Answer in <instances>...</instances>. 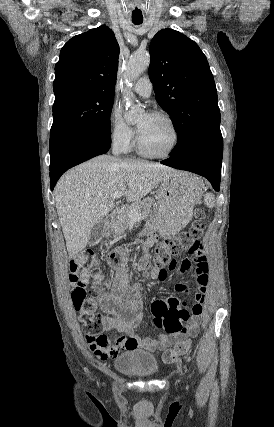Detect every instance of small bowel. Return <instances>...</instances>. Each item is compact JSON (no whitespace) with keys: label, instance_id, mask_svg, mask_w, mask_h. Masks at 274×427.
<instances>
[{"label":"small bowel","instance_id":"small-bowel-1","mask_svg":"<svg viewBox=\"0 0 274 427\" xmlns=\"http://www.w3.org/2000/svg\"><path fill=\"white\" fill-rule=\"evenodd\" d=\"M154 242L151 237L143 244L144 249H149ZM201 244L195 245L194 249L188 250V255L192 258H184L178 265L169 264L167 269H162L159 274L157 268H152L146 258L141 257L132 266H124L125 251L123 248H116L110 254V262L116 266L112 284L109 289L104 287V274L92 272L90 267H85L79 273L83 288L88 293V282L91 280V290L96 305L100 308L106 330H116L124 335L110 341L105 335L89 337L87 343L90 351L99 360L115 359L120 352H154L160 350L161 345H172L177 338H189L198 333L199 323L204 312V302L207 292L209 266ZM195 252H197L195 254ZM119 258L117 262L114 260ZM192 271L197 272L196 283L198 290L194 295V304L191 307V321L187 326L186 311L189 304L180 299L179 293H170L169 299L152 300V326L158 327L159 332H169L160 334L157 337L136 335L135 330L143 320V301L141 295L130 287L129 275L132 270L148 271L152 280L163 281L164 278H176L179 271L184 272L189 269L191 263ZM179 270V271H178ZM195 281L194 277L190 278ZM178 287H183V282L177 283ZM174 291L173 287L169 288ZM166 320V322H165ZM182 333V327H186Z\"/></svg>","mask_w":274,"mask_h":427}]
</instances>
